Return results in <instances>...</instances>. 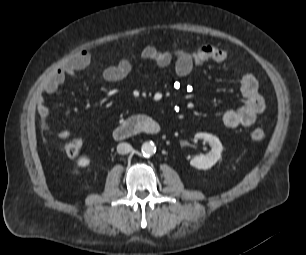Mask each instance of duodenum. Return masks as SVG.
<instances>
[{
	"label": "duodenum",
	"mask_w": 306,
	"mask_h": 255,
	"mask_svg": "<svg viewBox=\"0 0 306 255\" xmlns=\"http://www.w3.org/2000/svg\"><path fill=\"white\" fill-rule=\"evenodd\" d=\"M160 130V124L152 117L137 115L116 126L113 137L116 140H126L140 134L156 135Z\"/></svg>",
	"instance_id": "1"
}]
</instances>
